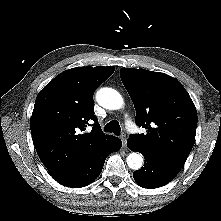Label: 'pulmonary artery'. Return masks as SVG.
I'll return each instance as SVG.
<instances>
[{
  "instance_id": "e3ab8cb5",
  "label": "pulmonary artery",
  "mask_w": 221,
  "mask_h": 221,
  "mask_svg": "<svg viewBox=\"0 0 221 221\" xmlns=\"http://www.w3.org/2000/svg\"><path fill=\"white\" fill-rule=\"evenodd\" d=\"M126 125H127L129 130H131L133 128V125H132V123L130 121H127Z\"/></svg>"
}]
</instances>
